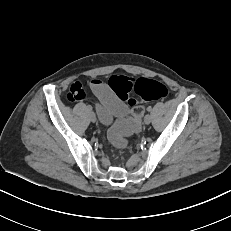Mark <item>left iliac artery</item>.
<instances>
[{
  "label": "left iliac artery",
  "mask_w": 231,
  "mask_h": 231,
  "mask_svg": "<svg viewBox=\"0 0 231 231\" xmlns=\"http://www.w3.org/2000/svg\"><path fill=\"white\" fill-rule=\"evenodd\" d=\"M147 110L150 112V111L152 110L151 106H149V107L147 108Z\"/></svg>",
  "instance_id": "1"
}]
</instances>
